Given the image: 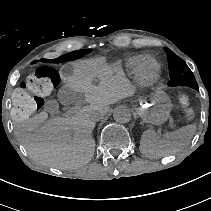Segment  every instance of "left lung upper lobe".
<instances>
[{
  "label": "left lung upper lobe",
  "mask_w": 211,
  "mask_h": 211,
  "mask_svg": "<svg viewBox=\"0 0 211 211\" xmlns=\"http://www.w3.org/2000/svg\"><path fill=\"white\" fill-rule=\"evenodd\" d=\"M169 64V86H188L199 90L195 77L186 63L168 48H164Z\"/></svg>",
  "instance_id": "1"
}]
</instances>
